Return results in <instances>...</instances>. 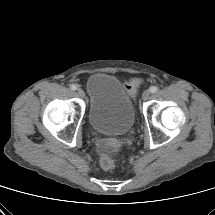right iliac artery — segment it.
I'll return each mask as SVG.
<instances>
[{"mask_svg": "<svg viewBox=\"0 0 215 215\" xmlns=\"http://www.w3.org/2000/svg\"><path fill=\"white\" fill-rule=\"evenodd\" d=\"M70 88H71V90H76V89H77V86L74 85V84H72V85L70 86Z\"/></svg>", "mask_w": 215, "mask_h": 215, "instance_id": "1", "label": "right iliac artery"}]
</instances>
